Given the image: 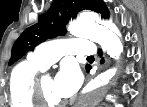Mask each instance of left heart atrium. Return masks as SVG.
Masks as SVG:
<instances>
[{"mask_svg": "<svg viewBox=\"0 0 147 107\" xmlns=\"http://www.w3.org/2000/svg\"><path fill=\"white\" fill-rule=\"evenodd\" d=\"M82 83V74L74 65H64L55 77L54 87L59 96L64 99L71 97Z\"/></svg>", "mask_w": 147, "mask_h": 107, "instance_id": "obj_1", "label": "left heart atrium"}]
</instances>
